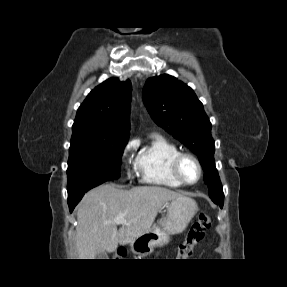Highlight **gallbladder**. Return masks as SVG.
<instances>
[{"label":"gallbladder","mask_w":287,"mask_h":287,"mask_svg":"<svg viewBox=\"0 0 287 287\" xmlns=\"http://www.w3.org/2000/svg\"><path fill=\"white\" fill-rule=\"evenodd\" d=\"M96 259H105V253L104 252H98L96 255Z\"/></svg>","instance_id":"1"}]
</instances>
